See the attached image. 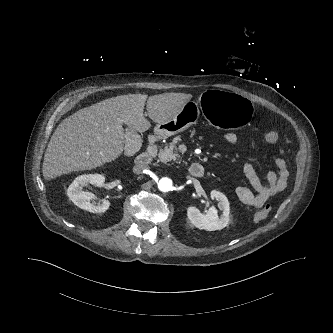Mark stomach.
<instances>
[{
    "instance_id": "0dacf381",
    "label": "stomach",
    "mask_w": 333,
    "mask_h": 333,
    "mask_svg": "<svg viewBox=\"0 0 333 333\" xmlns=\"http://www.w3.org/2000/svg\"><path fill=\"white\" fill-rule=\"evenodd\" d=\"M199 109L210 123L222 128H240L252 116V107L246 98L220 88L205 91L199 100ZM196 117L197 106L188 101L174 117L157 124L154 133L166 139L186 130Z\"/></svg>"
}]
</instances>
